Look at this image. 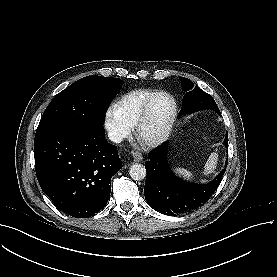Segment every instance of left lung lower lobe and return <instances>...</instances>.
<instances>
[{
  "instance_id": "1",
  "label": "left lung lower lobe",
  "mask_w": 277,
  "mask_h": 277,
  "mask_svg": "<svg viewBox=\"0 0 277 277\" xmlns=\"http://www.w3.org/2000/svg\"><path fill=\"white\" fill-rule=\"evenodd\" d=\"M169 142L151 151L145 163L147 171L144 195L149 206L164 215H177L194 210L212 196L225 173L222 170L215 180L196 185L179 179L167 164ZM228 145V135L224 140ZM227 165V164H225Z\"/></svg>"
}]
</instances>
